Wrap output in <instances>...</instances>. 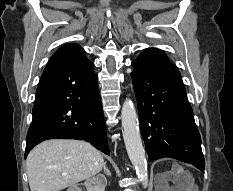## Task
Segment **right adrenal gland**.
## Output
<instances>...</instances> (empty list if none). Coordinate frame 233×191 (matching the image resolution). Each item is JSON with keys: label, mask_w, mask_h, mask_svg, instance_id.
Segmentation results:
<instances>
[{"label": "right adrenal gland", "mask_w": 233, "mask_h": 191, "mask_svg": "<svg viewBox=\"0 0 233 191\" xmlns=\"http://www.w3.org/2000/svg\"><path fill=\"white\" fill-rule=\"evenodd\" d=\"M103 168H104V173H105L106 175H108L109 177H111V172H110L109 169L106 167V162H104ZM104 178H105V177H104ZM105 183L107 184L106 178H105Z\"/></svg>", "instance_id": "2a0ac1e0"}]
</instances>
